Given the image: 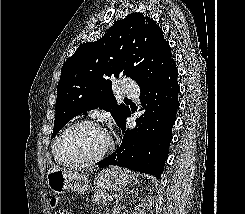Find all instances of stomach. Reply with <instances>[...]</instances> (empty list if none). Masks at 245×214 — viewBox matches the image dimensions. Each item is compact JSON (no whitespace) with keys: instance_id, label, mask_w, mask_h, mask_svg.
Segmentation results:
<instances>
[{"instance_id":"stomach-1","label":"stomach","mask_w":245,"mask_h":214,"mask_svg":"<svg viewBox=\"0 0 245 214\" xmlns=\"http://www.w3.org/2000/svg\"><path fill=\"white\" fill-rule=\"evenodd\" d=\"M46 183L55 194H62L67 190L77 193L85 192L89 187L86 175L75 171H66L52 166L47 171ZM134 180L129 172L111 167L102 170L94 179V186L101 190H121Z\"/></svg>"}]
</instances>
